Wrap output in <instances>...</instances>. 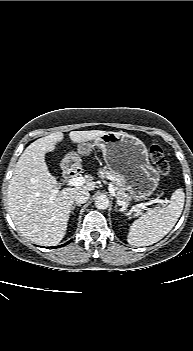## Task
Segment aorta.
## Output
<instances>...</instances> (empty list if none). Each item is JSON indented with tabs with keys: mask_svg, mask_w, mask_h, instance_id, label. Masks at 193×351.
Wrapping results in <instances>:
<instances>
[{
	"mask_svg": "<svg viewBox=\"0 0 193 351\" xmlns=\"http://www.w3.org/2000/svg\"><path fill=\"white\" fill-rule=\"evenodd\" d=\"M95 206L100 210L107 209L109 207V199L106 195H98L95 198Z\"/></svg>",
	"mask_w": 193,
	"mask_h": 351,
	"instance_id": "1",
	"label": "aorta"
}]
</instances>
